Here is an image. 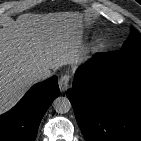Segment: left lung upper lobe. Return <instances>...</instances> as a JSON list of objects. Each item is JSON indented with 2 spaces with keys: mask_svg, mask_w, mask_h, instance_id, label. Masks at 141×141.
Returning <instances> with one entry per match:
<instances>
[{
  "mask_svg": "<svg viewBox=\"0 0 141 141\" xmlns=\"http://www.w3.org/2000/svg\"><path fill=\"white\" fill-rule=\"evenodd\" d=\"M130 48H141V34L133 27H131L130 36L124 43L122 50Z\"/></svg>",
  "mask_w": 141,
  "mask_h": 141,
  "instance_id": "5c2ea615",
  "label": "left lung upper lobe"
}]
</instances>
